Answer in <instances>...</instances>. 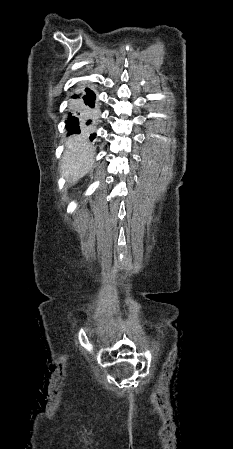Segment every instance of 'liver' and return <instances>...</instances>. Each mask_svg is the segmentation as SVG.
Instances as JSON below:
<instances>
[{"instance_id": "6515ba94", "label": "liver", "mask_w": 233, "mask_h": 449, "mask_svg": "<svg viewBox=\"0 0 233 449\" xmlns=\"http://www.w3.org/2000/svg\"><path fill=\"white\" fill-rule=\"evenodd\" d=\"M94 149L84 135L66 141V150L60 162L62 176L69 183H75L92 168Z\"/></svg>"}]
</instances>
